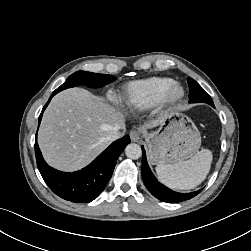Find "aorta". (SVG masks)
Segmentation results:
<instances>
[{"instance_id":"aorta-1","label":"aorta","mask_w":251,"mask_h":251,"mask_svg":"<svg viewBox=\"0 0 251 251\" xmlns=\"http://www.w3.org/2000/svg\"><path fill=\"white\" fill-rule=\"evenodd\" d=\"M125 154L130 159H138L142 155L141 147L138 144L131 143L125 148Z\"/></svg>"}]
</instances>
